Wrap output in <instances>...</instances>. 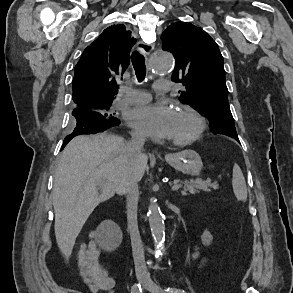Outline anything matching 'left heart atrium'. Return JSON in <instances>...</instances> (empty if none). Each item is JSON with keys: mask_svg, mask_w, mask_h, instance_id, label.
Here are the masks:
<instances>
[{"mask_svg": "<svg viewBox=\"0 0 293 293\" xmlns=\"http://www.w3.org/2000/svg\"><path fill=\"white\" fill-rule=\"evenodd\" d=\"M175 112L167 104H148L126 112L128 124L152 138H169Z\"/></svg>", "mask_w": 293, "mask_h": 293, "instance_id": "39dd6f15", "label": "left heart atrium"}]
</instances>
